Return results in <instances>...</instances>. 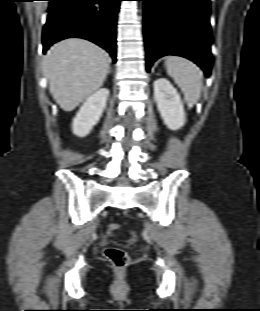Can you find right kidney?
<instances>
[{
    "instance_id": "1",
    "label": "right kidney",
    "mask_w": 260,
    "mask_h": 311,
    "mask_svg": "<svg viewBox=\"0 0 260 311\" xmlns=\"http://www.w3.org/2000/svg\"><path fill=\"white\" fill-rule=\"evenodd\" d=\"M108 96L109 90L101 88L84 102L73 119L72 131L75 135L85 137L90 133L102 116Z\"/></svg>"
}]
</instances>
